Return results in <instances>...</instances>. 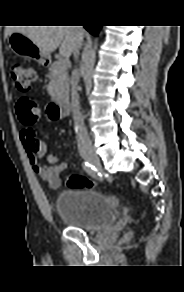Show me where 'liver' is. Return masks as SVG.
<instances>
[{"mask_svg":"<svg viewBox=\"0 0 184 292\" xmlns=\"http://www.w3.org/2000/svg\"><path fill=\"white\" fill-rule=\"evenodd\" d=\"M21 33L31 39L44 52L50 54L59 47L61 56L69 57L84 37L78 26H10L5 35Z\"/></svg>","mask_w":184,"mask_h":292,"instance_id":"obj_1","label":"liver"}]
</instances>
